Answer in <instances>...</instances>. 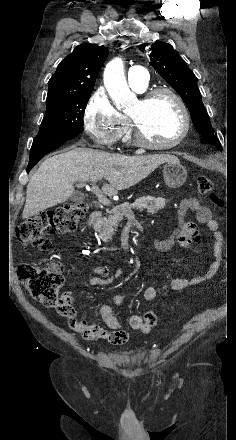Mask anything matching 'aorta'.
Instances as JSON below:
<instances>
[{
	"instance_id": "1",
	"label": "aorta",
	"mask_w": 236,
	"mask_h": 440,
	"mask_svg": "<svg viewBox=\"0 0 236 440\" xmlns=\"http://www.w3.org/2000/svg\"><path fill=\"white\" fill-rule=\"evenodd\" d=\"M103 80L117 109H125L134 104L136 95L127 85L123 61L120 58H115L106 65Z\"/></svg>"
}]
</instances>
